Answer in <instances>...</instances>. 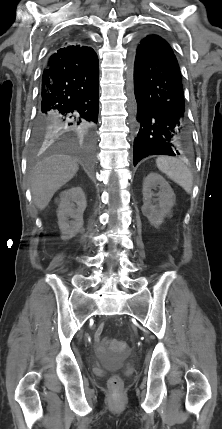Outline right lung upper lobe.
<instances>
[{
  "label": "right lung upper lobe",
  "mask_w": 222,
  "mask_h": 429,
  "mask_svg": "<svg viewBox=\"0 0 222 429\" xmlns=\"http://www.w3.org/2000/svg\"><path fill=\"white\" fill-rule=\"evenodd\" d=\"M58 48H67L72 52H76L78 56H90V54L93 52L91 47L83 46L82 42L79 40H74L72 35L69 37V39H67V41H61L58 44Z\"/></svg>",
  "instance_id": "right-lung-upper-lobe-1"
}]
</instances>
